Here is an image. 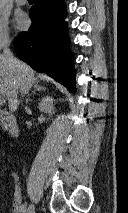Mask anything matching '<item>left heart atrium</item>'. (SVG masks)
Segmentation results:
<instances>
[{"label":"left heart atrium","instance_id":"obj_1","mask_svg":"<svg viewBox=\"0 0 128 213\" xmlns=\"http://www.w3.org/2000/svg\"><path fill=\"white\" fill-rule=\"evenodd\" d=\"M15 25L18 29H25L28 26V18L25 14L20 13L15 17Z\"/></svg>","mask_w":128,"mask_h":213}]
</instances>
